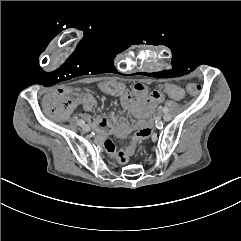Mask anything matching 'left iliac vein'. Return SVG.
<instances>
[{
  "mask_svg": "<svg viewBox=\"0 0 241 241\" xmlns=\"http://www.w3.org/2000/svg\"><path fill=\"white\" fill-rule=\"evenodd\" d=\"M171 120V115L169 113H166L164 116H163V121L164 122H168Z\"/></svg>",
  "mask_w": 241,
  "mask_h": 241,
  "instance_id": "4c4485c4",
  "label": "left iliac vein"
}]
</instances>
